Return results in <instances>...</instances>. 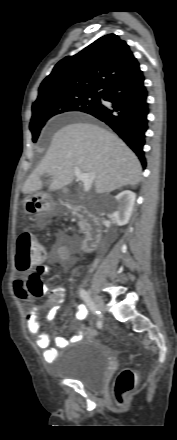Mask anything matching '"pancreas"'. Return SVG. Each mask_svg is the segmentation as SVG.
<instances>
[{"label":"pancreas","mask_w":177,"mask_h":440,"mask_svg":"<svg viewBox=\"0 0 177 440\" xmlns=\"http://www.w3.org/2000/svg\"><path fill=\"white\" fill-rule=\"evenodd\" d=\"M78 225H79V227H80V232H84V231L86 230V223H85V221L80 220V221L78 222Z\"/></svg>","instance_id":"1"}]
</instances>
